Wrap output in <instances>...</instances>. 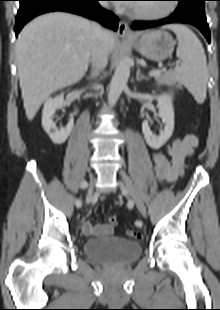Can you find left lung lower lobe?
Segmentation results:
<instances>
[{"instance_id": "0a47b994", "label": "left lung lower lobe", "mask_w": 220, "mask_h": 310, "mask_svg": "<svg viewBox=\"0 0 220 310\" xmlns=\"http://www.w3.org/2000/svg\"><path fill=\"white\" fill-rule=\"evenodd\" d=\"M173 23H186L195 26L202 32L207 41L210 43V31L206 21L205 12H201L195 9L181 10L177 7L175 12L165 19L147 22L134 21L132 27L135 30H142Z\"/></svg>"}]
</instances>
